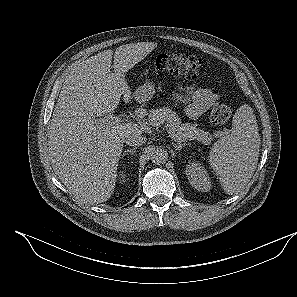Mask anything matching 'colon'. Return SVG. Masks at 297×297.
Instances as JSON below:
<instances>
[{
  "label": "colon",
  "instance_id": "5ec220e1",
  "mask_svg": "<svg viewBox=\"0 0 297 297\" xmlns=\"http://www.w3.org/2000/svg\"><path fill=\"white\" fill-rule=\"evenodd\" d=\"M155 66L160 71L194 79L199 75L201 63L195 56L173 52L160 55L155 61ZM232 110L229 102H217L210 115L212 126L217 128L226 124L231 118Z\"/></svg>",
  "mask_w": 297,
  "mask_h": 297
}]
</instances>
